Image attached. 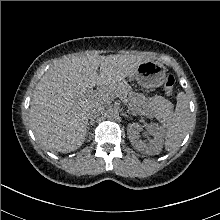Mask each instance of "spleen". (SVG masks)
<instances>
[{"instance_id":"obj_1","label":"spleen","mask_w":220,"mask_h":220,"mask_svg":"<svg viewBox=\"0 0 220 220\" xmlns=\"http://www.w3.org/2000/svg\"><path fill=\"white\" fill-rule=\"evenodd\" d=\"M190 123L189 104L184 93L178 94L175 112L172 113L167 124L168 131L165 136V149L167 151L177 150L185 138Z\"/></svg>"}]
</instances>
